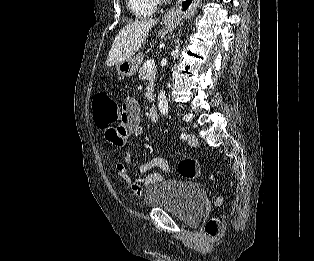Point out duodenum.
<instances>
[{
	"label": "duodenum",
	"mask_w": 314,
	"mask_h": 261,
	"mask_svg": "<svg viewBox=\"0 0 314 261\" xmlns=\"http://www.w3.org/2000/svg\"><path fill=\"white\" fill-rule=\"evenodd\" d=\"M149 118L153 122L158 121V118H159L158 110H157V107L155 105H151L149 107Z\"/></svg>",
	"instance_id": "1"
}]
</instances>
